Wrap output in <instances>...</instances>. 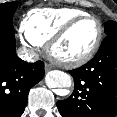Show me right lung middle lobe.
<instances>
[{
    "mask_svg": "<svg viewBox=\"0 0 117 117\" xmlns=\"http://www.w3.org/2000/svg\"><path fill=\"white\" fill-rule=\"evenodd\" d=\"M18 1L0 4V20H11L17 9Z\"/></svg>",
    "mask_w": 117,
    "mask_h": 117,
    "instance_id": "1",
    "label": "right lung middle lobe"
}]
</instances>
